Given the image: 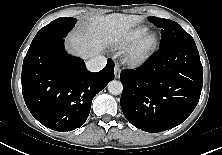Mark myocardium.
I'll list each match as a JSON object with an SVG mask.
<instances>
[{
    "instance_id": "1",
    "label": "myocardium",
    "mask_w": 222,
    "mask_h": 155,
    "mask_svg": "<svg viewBox=\"0 0 222 155\" xmlns=\"http://www.w3.org/2000/svg\"><path fill=\"white\" fill-rule=\"evenodd\" d=\"M159 38L155 32H146L128 49L125 62L131 67L145 64L155 52Z\"/></svg>"
}]
</instances>
